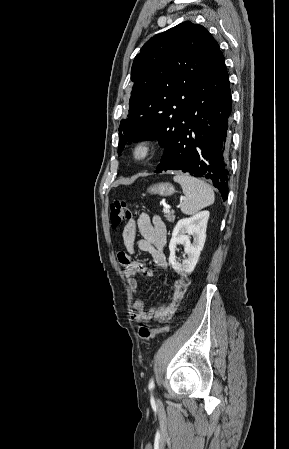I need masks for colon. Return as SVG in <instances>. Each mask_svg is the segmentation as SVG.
<instances>
[{
    "label": "colon",
    "mask_w": 289,
    "mask_h": 449,
    "mask_svg": "<svg viewBox=\"0 0 289 449\" xmlns=\"http://www.w3.org/2000/svg\"><path fill=\"white\" fill-rule=\"evenodd\" d=\"M132 212L126 201L116 200L110 205V222L113 228H118L122 223L130 220ZM171 324L164 325L158 328H149L147 326H140L138 329L139 338L142 341H149L156 335L168 332Z\"/></svg>",
    "instance_id": "5ec220e1"
}]
</instances>
